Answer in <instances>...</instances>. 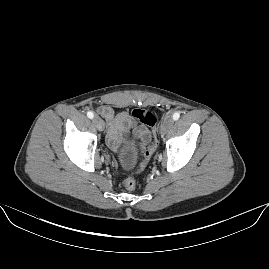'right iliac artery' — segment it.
Returning <instances> with one entry per match:
<instances>
[{"label":"right iliac artery","instance_id":"82829eb1","mask_svg":"<svg viewBox=\"0 0 269 269\" xmlns=\"http://www.w3.org/2000/svg\"><path fill=\"white\" fill-rule=\"evenodd\" d=\"M88 118L92 119L94 117V114L92 112L87 113Z\"/></svg>","mask_w":269,"mask_h":269}]
</instances>
